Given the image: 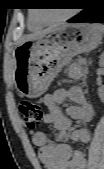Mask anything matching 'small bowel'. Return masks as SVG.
I'll use <instances>...</instances> for the list:
<instances>
[{"instance_id": "small-bowel-1", "label": "small bowel", "mask_w": 104, "mask_h": 169, "mask_svg": "<svg viewBox=\"0 0 104 169\" xmlns=\"http://www.w3.org/2000/svg\"><path fill=\"white\" fill-rule=\"evenodd\" d=\"M67 100L72 104L62 110L61 105ZM43 102L48 109L43 116V123L52 126L59 133L55 140H51L42 131L34 133L32 137L45 169H85L87 159L84 152L73 150L69 144L63 142V139L70 129L72 119L83 124L91 121L94 116L93 106L86 100L79 87L58 89L45 95ZM90 136V131L84 126L74 129L70 134L73 142L81 143L88 142Z\"/></svg>"}]
</instances>
